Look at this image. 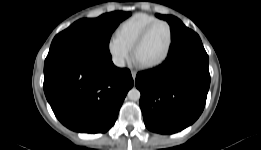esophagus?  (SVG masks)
Instances as JSON below:
<instances>
[{
	"label": "esophagus",
	"instance_id": "1",
	"mask_svg": "<svg viewBox=\"0 0 261 150\" xmlns=\"http://www.w3.org/2000/svg\"><path fill=\"white\" fill-rule=\"evenodd\" d=\"M131 75H132L133 80H135L137 72L136 71H131Z\"/></svg>",
	"mask_w": 261,
	"mask_h": 150
}]
</instances>
